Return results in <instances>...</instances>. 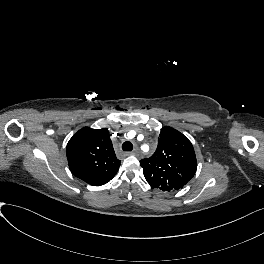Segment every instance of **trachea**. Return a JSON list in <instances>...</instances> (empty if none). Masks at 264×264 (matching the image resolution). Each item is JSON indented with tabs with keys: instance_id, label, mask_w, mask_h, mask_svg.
Here are the masks:
<instances>
[{
	"instance_id": "1",
	"label": "trachea",
	"mask_w": 264,
	"mask_h": 264,
	"mask_svg": "<svg viewBox=\"0 0 264 264\" xmlns=\"http://www.w3.org/2000/svg\"><path fill=\"white\" fill-rule=\"evenodd\" d=\"M122 149H123L124 151H132V149H133V145H132L131 142L126 141V142H124V143L122 144Z\"/></svg>"
}]
</instances>
